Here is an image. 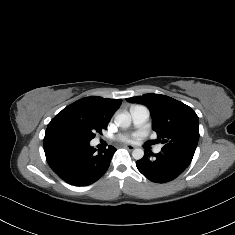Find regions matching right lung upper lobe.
I'll return each mask as SVG.
<instances>
[{
	"mask_svg": "<svg viewBox=\"0 0 235 235\" xmlns=\"http://www.w3.org/2000/svg\"><path fill=\"white\" fill-rule=\"evenodd\" d=\"M120 105L121 100L119 99H108L98 96L79 99L65 107L51 120L47 126L46 134L60 130L61 123L69 118L93 117L107 125Z\"/></svg>",
	"mask_w": 235,
	"mask_h": 235,
	"instance_id": "1",
	"label": "right lung upper lobe"
}]
</instances>
